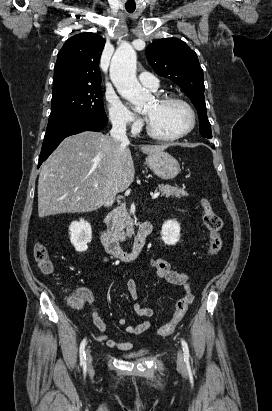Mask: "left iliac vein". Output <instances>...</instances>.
<instances>
[{
  "mask_svg": "<svg viewBox=\"0 0 272 411\" xmlns=\"http://www.w3.org/2000/svg\"><path fill=\"white\" fill-rule=\"evenodd\" d=\"M177 364L181 367L184 365L182 353L180 349H178V352H177Z\"/></svg>",
  "mask_w": 272,
  "mask_h": 411,
  "instance_id": "left-iliac-vein-1",
  "label": "left iliac vein"
}]
</instances>
